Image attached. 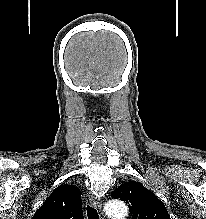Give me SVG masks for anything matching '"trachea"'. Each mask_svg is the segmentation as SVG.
<instances>
[{
  "label": "trachea",
  "instance_id": "trachea-1",
  "mask_svg": "<svg viewBox=\"0 0 206 219\" xmlns=\"http://www.w3.org/2000/svg\"><path fill=\"white\" fill-rule=\"evenodd\" d=\"M87 217L88 219H99V214L94 207L87 205Z\"/></svg>",
  "mask_w": 206,
  "mask_h": 219
}]
</instances>
